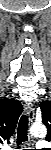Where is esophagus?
<instances>
[{"instance_id":"1","label":"esophagus","mask_w":51,"mask_h":150,"mask_svg":"<svg viewBox=\"0 0 51 150\" xmlns=\"http://www.w3.org/2000/svg\"><path fill=\"white\" fill-rule=\"evenodd\" d=\"M25 111L28 115L29 122L32 123L34 120V108H33L32 104L27 103L25 105Z\"/></svg>"}]
</instances>
